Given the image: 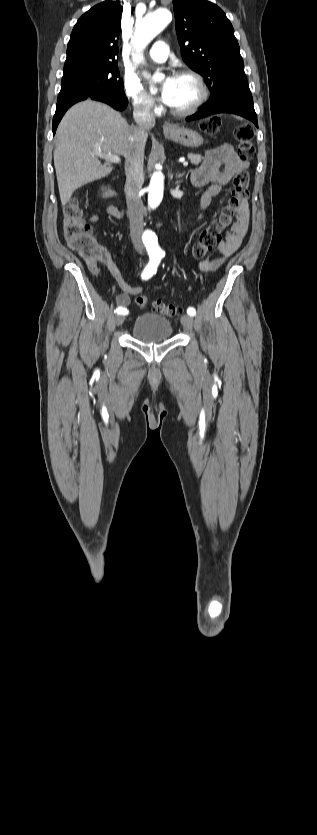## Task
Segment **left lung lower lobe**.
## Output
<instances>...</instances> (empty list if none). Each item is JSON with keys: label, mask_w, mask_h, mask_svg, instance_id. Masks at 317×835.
I'll return each instance as SVG.
<instances>
[{"label": "left lung lower lobe", "mask_w": 317, "mask_h": 835, "mask_svg": "<svg viewBox=\"0 0 317 835\" xmlns=\"http://www.w3.org/2000/svg\"><path fill=\"white\" fill-rule=\"evenodd\" d=\"M217 113H232L242 116L252 121L258 128L252 95L245 93H234L217 104L208 102L202 105L201 109L197 113L187 117L186 120L192 121L201 119Z\"/></svg>", "instance_id": "0a47b994"}]
</instances>
